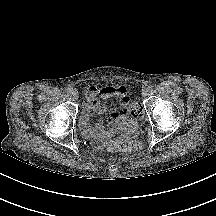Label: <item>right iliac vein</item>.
Segmentation results:
<instances>
[{
  "mask_svg": "<svg viewBox=\"0 0 216 216\" xmlns=\"http://www.w3.org/2000/svg\"><path fill=\"white\" fill-rule=\"evenodd\" d=\"M70 97L73 99V100H77L78 99V94L76 92H71L70 93Z\"/></svg>",
  "mask_w": 216,
  "mask_h": 216,
  "instance_id": "obj_1",
  "label": "right iliac vein"
}]
</instances>
